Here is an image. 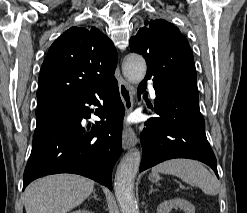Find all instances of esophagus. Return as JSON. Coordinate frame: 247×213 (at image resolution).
Here are the masks:
<instances>
[{"instance_id":"obj_1","label":"esophagus","mask_w":247,"mask_h":213,"mask_svg":"<svg viewBox=\"0 0 247 213\" xmlns=\"http://www.w3.org/2000/svg\"><path fill=\"white\" fill-rule=\"evenodd\" d=\"M119 93L123 104L125 106L127 114L132 111L134 104V88L124 79H120ZM137 144V136L134 130L130 127H126L122 136V147L124 150L129 149Z\"/></svg>"}]
</instances>
